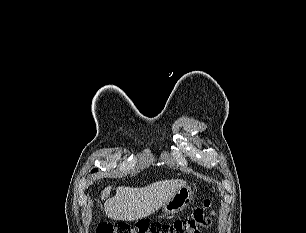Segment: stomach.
Returning a JSON list of instances; mask_svg holds the SVG:
<instances>
[{"mask_svg":"<svg viewBox=\"0 0 306 233\" xmlns=\"http://www.w3.org/2000/svg\"><path fill=\"white\" fill-rule=\"evenodd\" d=\"M193 199V191L186 184L162 206L165 214H175L186 208Z\"/></svg>","mask_w":306,"mask_h":233,"instance_id":"1","label":"stomach"}]
</instances>
